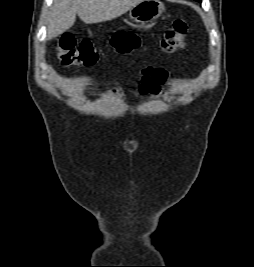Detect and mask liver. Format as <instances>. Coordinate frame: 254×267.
Returning a JSON list of instances; mask_svg holds the SVG:
<instances>
[{
    "instance_id": "liver-1",
    "label": "liver",
    "mask_w": 254,
    "mask_h": 267,
    "mask_svg": "<svg viewBox=\"0 0 254 267\" xmlns=\"http://www.w3.org/2000/svg\"><path fill=\"white\" fill-rule=\"evenodd\" d=\"M143 0H55L50 11L47 38L52 39L70 29L76 14L86 24L115 19Z\"/></svg>"
}]
</instances>
